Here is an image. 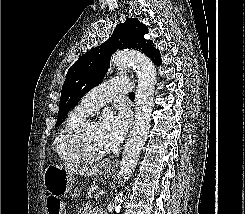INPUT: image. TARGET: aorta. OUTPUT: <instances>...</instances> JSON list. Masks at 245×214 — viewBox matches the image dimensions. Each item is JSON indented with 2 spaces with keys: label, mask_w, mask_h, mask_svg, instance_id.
Wrapping results in <instances>:
<instances>
[{
  "label": "aorta",
  "mask_w": 245,
  "mask_h": 214,
  "mask_svg": "<svg viewBox=\"0 0 245 214\" xmlns=\"http://www.w3.org/2000/svg\"><path fill=\"white\" fill-rule=\"evenodd\" d=\"M112 65L116 68L132 66L138 77L135 121L120 162L119 174L126 181L135 170L140 152L148 136L156 84V69L148 57L135 51L117 52L112 57ZM123 199L124 194L121 191L115 197L116 213L120 212Z\"/></svg>",
  "instance_id": "obj_1"
}]
</instances>
